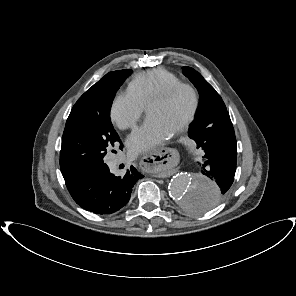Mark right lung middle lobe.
<instances>
[{
  "mask_svg": "<svg viewBox=\"0 0 296 296\" xmlns=\"http://www.w3.org/2000/svg\"><path fill=\"white\" fill-rule=\"evenodd\" d=\"M130 69L109 72L76 102L67 119L60 151L64 179L104 163L120 141L110 121V108Z\"/></svg>",
  "mask_w": 296,
  "mask_h": 296,
  "instance_id": "right-lung-middle-lobe-1",
  "label": "right lung middle lobe"
}]
</instances>
